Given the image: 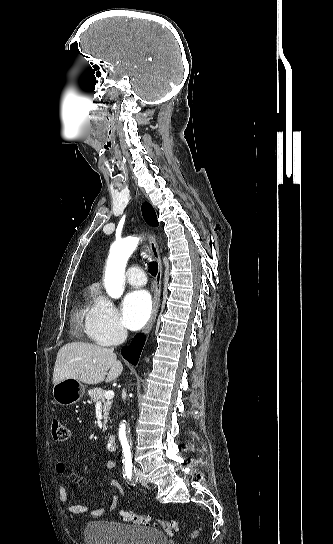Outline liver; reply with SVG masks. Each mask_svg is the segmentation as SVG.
I'll list each match as a JSON object with an SVG mask.
<instances>
[{"label": "liver", "mask_w": 333, "mask_h": 544, "mask_svg": "<svg viewBox=\"0 0 333 544\" xmlns=\"http://www.w3.org/2000/svg\"><path fill=\"white\" fill-rule=\"evenodd\" d=\"M122 371L123 365L117 360L113 349L76 341L65 344L58 351L53 384L67 378H73L85 384H98L104 380L111 382Z\"/></svg>", "instance_id": "1"}]
</instances>
